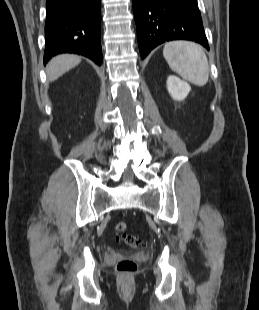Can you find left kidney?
<instances>
[{
    "mask_svg": "<svg viewBox=\"0 0 259 310\" xmlns=\"http://www.w3.org/2000/svg\"><path fill=\"white\" fill-rule=\"evenodd\" d=\"M167 90L174 100L181 101L187 97L191 87L177 76L170 75L167 78Z\"/></svg>",
    "mask_w": 259,
    "mask_h": 310,
    "instance_id": "left-kidney-1",
    "label": "left kidney"
}]
</instances>
